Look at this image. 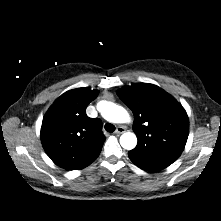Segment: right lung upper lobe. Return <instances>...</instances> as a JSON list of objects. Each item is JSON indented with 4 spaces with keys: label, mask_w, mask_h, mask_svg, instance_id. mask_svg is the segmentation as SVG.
<instances>
[{
    "label": "right lung upper lobe",
    "mask_w": 221,
    "mask_h": 221,
    "mask_svg": "<svg viewBox=\"0 0 221 221\" xmlns=\"http://www.w3.org/2000/svg\"><path fill=\"white\" fill-rule=\"evenodd\" d=\"M97 90L77 88L62 94L46 112L41 141L52 161L67 170L83 169L99 156L105 136L98 118H89L86 107Z\"/></svg>",
    "instance_id": "right-lung-upper-lobe-1"
}]
</instances>
